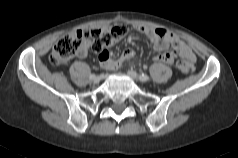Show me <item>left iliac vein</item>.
<instances>
[{
    "instance_id": "4c4485c4",
    "label": "left iliac vein",
    "mask_w": 238,
    "mask_h": 158,
    "mask_svg": "<svg viewBox=\"0 0 238 158\" xmlns=\"http://www.w3.org/2000/svg\"><path fill=\"white\" fill-rule=\"evenodd\" d=\"M128 75H129L132 79H134V80H138V79H139V78H138V74H137L135 71H132V70L128 71Z\"/></svg>"
}]
</instances>
